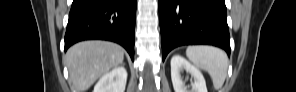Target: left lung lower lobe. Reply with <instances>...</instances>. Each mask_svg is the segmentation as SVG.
<instances>
[{"label":"left lung lower lobe","instance_id":"0a47b994","mask_svg":"<svg viewBox=\"0 0 296 92\" xmlns=\"http://www.w3.org/2000/svg\"><path fill=\"white\" fill-rule=\"evenodd\" d=\"M163 60L182 45L208 44L230 55L225 0H159Z\"/></svg>","mask_w":296,"mask_h":92}]
</instances>
